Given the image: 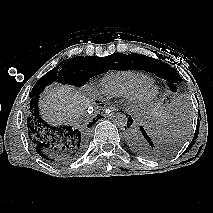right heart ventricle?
Wrapping results in <instances>:
<instances>
[{
	"label": "right heart ventricle",
	"instance_id": "obj_1",
	"mask_svg": "<svg viewBox=\"0 0 213 213\" xmlns=\"http://www.w3.org/2000/svg\"><path fill=\"white\" fill-rule=\"evenodd\" d=\"M150 81V76L143 71H114L103 77L101 89L111 97H120L137 92Z\"/></svg>",
	"mask_w": 213,
	"mask_h": 213
}]
</instances>
